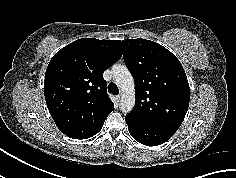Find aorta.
Here are the masks:
<instances>
[{
  "label": "aorta",
  "mask_w": 236,
  "mask_h": 178,
  "mask_svg": "<svg viewBox=\"0 0 236 178\" xmlns=\"http://www.w3.org/2000/svg\"><path fill=\"white\" fill-rule=\"evenodd\" d=\"M114 80L122 92L120 110L129 113L133 110L136 102L134 78L129 69L122 64H115L112 67Z\"/></svg>",
  "instance_id": "aorta-1"
}]
</instances>
